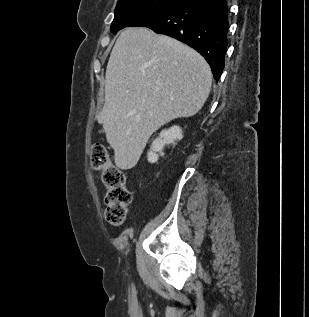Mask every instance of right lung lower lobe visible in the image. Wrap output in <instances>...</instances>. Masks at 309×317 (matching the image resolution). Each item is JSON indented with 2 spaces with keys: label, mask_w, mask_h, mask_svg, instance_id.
Returning <instances> with one entry per match:
<instances>
[{
  "label": "right lung lower lobe",
  "mask_w": 309,
  "mask_h": 317,
  "mask_svg": "<svg viewBox=\"0 0 309 317\" xmlns=\"http://www.w3.org/2000/svg\"><path fill=\"white\" fill-rule=\"evenodd\" d=\"M228 25L226 0H182L146 13L127 26L148 27L188 44L206 59L218 81L224 69Z\"/></svg>",
  "instance_id": "1"
}]
</instances>
